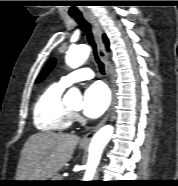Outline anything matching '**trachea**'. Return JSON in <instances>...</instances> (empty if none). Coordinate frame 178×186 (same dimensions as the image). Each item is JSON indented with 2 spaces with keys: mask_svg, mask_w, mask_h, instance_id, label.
Returning <instances> with one entry per match:
<instances>
[{
  "mask_svg": "<svg viewBox=\"0 0 178 186\" xmlns=\"http://www.w3.org/2000/svg\"><path fill=\"white\" fill-rule=\"evenodd\" d=\"M75 19V21L81 25L87 35V39L88 42L90 43V45L92 46L93 49V54H94V58L99 66L100 72L102 74H105V69H104V64L102 63V61L99 58L98 52H97V46L94 40V35L92 32V28L91 25L88 21H86L82 16H74L73 17Z\"/></svg>",
  "mask_w": 178,
  "mask_h": 186,
  "instance_id": "obj_1",
  "label": "trachea"
}]
</instances>
